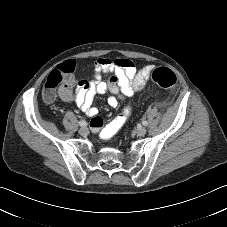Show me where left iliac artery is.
<instances>
[{"instance_id": "obj_1", "label": "left iliac artery", "mask_w": 227, "mask_h": 227, "mask_svg": "<svg viewBox=\"0 0 227 227\" xmlns=\"http://www.w3.org/2000/svg\"><path fill=\"white\" fill-rule=\"evenodd\" d=\"M142 124H143L144 126H147V125H148L147 121H143Z\"/></svg>"}]
</instances>
